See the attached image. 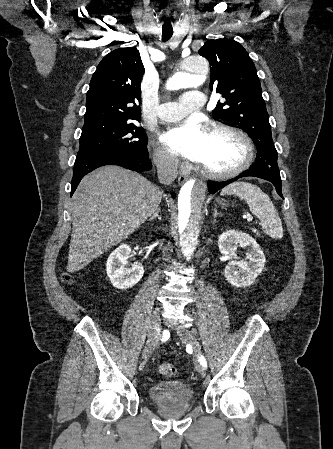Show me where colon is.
Here are the masks:
<instances>
[{"mask_svg": "<svg viewBox=\"0 0 333 449\" xmlns=\"http://www.w3.org/2000/svg\"><path fill=\"white\" fill-rule=\"evenodd\" d=\"M62 280L66 284H70L72 282V277L68 273H64L62 275ZM159 372L165 376H174L176 374V368L172 364L162 363L158 366Z\"/></svg>", "mask_w": 333, "mask_h": 449, "instance_id": "5ec220e1", "label": "colon"}]
</instances>
